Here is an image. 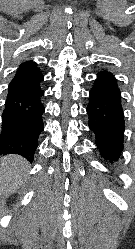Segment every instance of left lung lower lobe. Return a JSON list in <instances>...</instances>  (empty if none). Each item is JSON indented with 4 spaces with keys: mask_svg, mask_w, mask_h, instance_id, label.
<instances>
[{
    "mask_svg": "<svg viewBox=\"0 0 135 249\" xmlns=\"http://www.w3.org/2000/svg\"><path fill=\"white\" fill-rule=\"evenodd\" d=\"M87 114L101 156L110 163L117 161L123 151L125 121L121 91L111 72H98L89 92Z\"/></svg>",
    "mask_w": 135,
    "mask_h": 249,
    "instance_id": "left-lung-lower-lobe-1",
    "label": "left lung lower lobe"
}]
</instances>
